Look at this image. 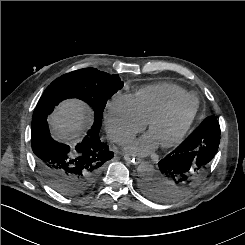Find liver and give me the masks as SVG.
I'll return each instance as SVG.
<instances>
[{"instance_id":"1","label":"liver","mask_w":245,"mask_h":245,"mask_svg":"<svg viewBox=\"0 0 245 245\" xmlns=\"http://www.w3.org/2000/svg\"><path fill=\"white\" fill-rule=\"evenodd\" d=\"M86 108L77 100L63 102L49 119L56 139L67 141L78 137L85 126Z\"/></svg>"}]
</instances>
